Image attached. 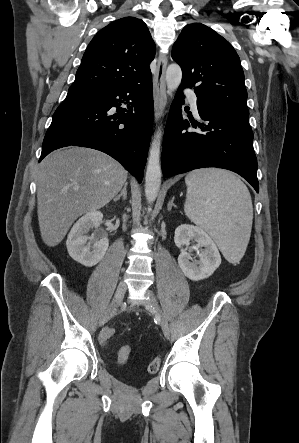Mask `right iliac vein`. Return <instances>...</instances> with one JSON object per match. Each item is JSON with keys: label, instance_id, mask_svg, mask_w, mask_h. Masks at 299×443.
Returning <instances> with one entry per match:
<instances>
[{"label": "right iliac vein", "instance_id": "63e3f726", "mask_svg": "<svg viewBox=\"0 0 299 443\" xmlns=\"http://www.w3.org/2000/svg\"><path fill=\"white\" fill-rule=\"evenodd\" d=\"M126 292V285L123 281H121L116 289L114 298L108 307V309L103 313V315L100 318V326L104 325L109 321L114 311L118 308V306L121 304L124 294Z\"/></svg>", "mask_w": 299, "mask_h": 443}]
</instances>
